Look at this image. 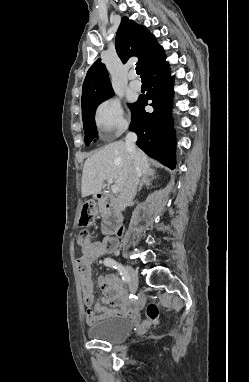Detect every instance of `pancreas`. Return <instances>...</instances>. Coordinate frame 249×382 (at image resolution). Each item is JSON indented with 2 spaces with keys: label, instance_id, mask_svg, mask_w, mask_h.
<instances>
[{
  "label": "pancreas",
  "instance_id": "obj_1",
  "mask_svg": "<svg viewBox=\"0 0 249 382\" xmlns=\"http://www.w3.org/2000/svg\"><path fill=\"white\" fill-rule=\"evenodd\" d=\"M100 213L104 214V211L102 210V205H100Z\"/></svg>",
  "mask_w": 249,
  "mask_h": 382
}]
</instances>
